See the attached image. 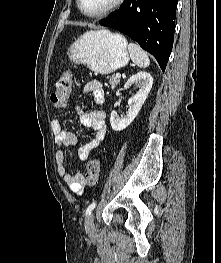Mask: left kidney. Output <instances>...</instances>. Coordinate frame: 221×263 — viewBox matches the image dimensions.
<instances>
[{"mask_svg": "<svg viewBox=\"0 0 221 263\" xmlns=\"http://www.w3.org/2000/svg\"><path fill=\"white\" fill-rule=\"evenodd\" d=\"M133 84L139 88V91L129 99L126 115L119 117L116 111L111 112L110 124L114 131H121L133 122L152 88L153 78L150 73L140 71L128 79L124 88L127 89Z\"/></svg>", "mask_w": 221, "mask_h": 263, "instance_id": "1", "label": "left kidney"}]
</instances>
